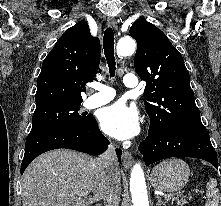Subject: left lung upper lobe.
Wrapping results in <instances>:
<instances>
[{
    "label": "left lung upper lobe",
    "mask_w": 221,
    "mask_h": 206,
    "mask_svg": "<svg viewBox=\"0 0 221 206\" xmlns=\"http://www.w3.org/2000/svg\"><path fill=\"white\" fill-rule=\"evenodd\" d=\"M137 40L134 66L147 82L144 98L150 117L148 133L203 128L182 55L153 24L137 20L130 28Z\"/></svg>",
    "instance_id": "1"
}]
</instances>
